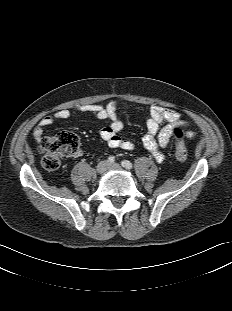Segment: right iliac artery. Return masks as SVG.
<instances>
[{
	"instance_id": "obj_1",
	"label": "right iliac artery",
	"mask_w": 232,
	"mask_h": 311,
	"mask_svg": "<svg viewBox=\"0 0 232 311\" xmlns=\"http://www.w3.org/2000/svg\"><path fill=\"white\" fill-rule=\"evenodd\" d=\"M114 161H115V158H114L113 156H110V157L108 158V162H109V163H114Z\"/></svg>"
}]
</instances>
